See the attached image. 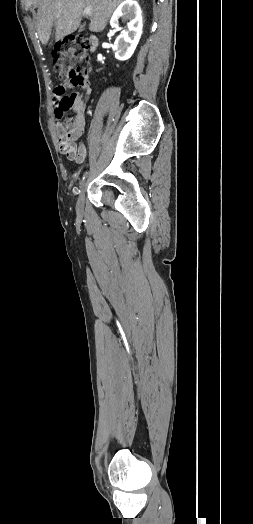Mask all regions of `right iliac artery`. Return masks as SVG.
Returning a JSON list of instances; mask_svg holds the SVG:
<instances>
[{
  "instance_id": "82829eb1",
  "label": "right iliac artery",
  "mask_w": 253,
  "mask_h": 524,
  "mask_svg": "<svg viewBox=\"0 0 253 524\" xmlns=\"http://www.w3.org/2000/svg\"><path fill=\"white\" fill-rule=\"evenodd\" d=\"M86 176H87V171H85V172L83 173L82 177H81V180H80V182H79V186H80V187L83 185Z\"/></svg>"
}]
</instances>
